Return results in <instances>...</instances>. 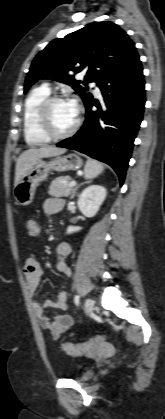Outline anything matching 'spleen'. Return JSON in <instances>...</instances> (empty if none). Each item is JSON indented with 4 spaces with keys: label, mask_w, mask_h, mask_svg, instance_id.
<instances>
[{
    "label": "spleen",
    "mask_w": 165,
    "mask_h": 419,
    "mask_svg": "<svg viewBox=\"0 0 165 419\" xmlns=\"http://www.w3.org/2000/svg\"><path fill=\"white\" fill-rule=\"evenodd\" d=\"M104 170L103 164L97 162L96 160L89 159L84 168L85 178L86 179H93L96 178L99 174H101Z\"/></svg>",
    "instance_id": "1"
}]
</instances>
